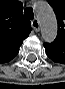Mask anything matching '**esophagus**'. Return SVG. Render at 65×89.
Returning a JSON list of instances; mask_svg holds the SVG:
<instances>
[{"mask_svg": "<svg viewBox=\"0 0 65 89\" xmlns=\"http://www.w3.org/2000/svg\"><path fill=\"white\" fill-rule=\"evenodd\" d=\"M32 27L36 32H38L40 30V24H39L38 19H34L32 21Z\"/></svg>", "mask_w": 65, "mask_h": 89, "instance_id": "1", "label": "esophagus"}]
</instances>
